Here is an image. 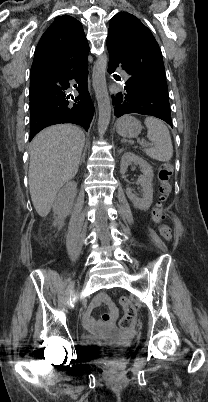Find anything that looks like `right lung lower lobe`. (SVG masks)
Returning <instances> with one entry per match:
<instances>
[{
    "mask_svg": "<svg viewBox=\"0 0 208 402\" xmlns=\"http://www.w3.org/2000/svg\"><path fill=\"white\" fill-rule=\"evenodd\" d=\"M88 53L89 47L66 66L31 71L29 141L42 129L60 123L77 124L88 131L94 115L87 88ZM72 79L78 83L75 98L67 94Z\"/></svg>",
    "mask_w": 208,
    "mask_h": 402,
    "instance_id": "98d812e1",
    "label": "right lung lower lobe"
}]
</instances>
